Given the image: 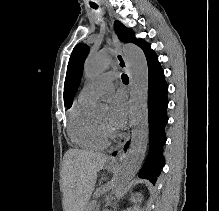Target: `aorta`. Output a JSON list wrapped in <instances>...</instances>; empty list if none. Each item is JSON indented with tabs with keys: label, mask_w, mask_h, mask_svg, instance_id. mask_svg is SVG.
<instances>
[{
	"label": "aorta",
	"mask_w": 219,
	"mask_h": 211,
	"mask_svg": "<svg viewBox=\"0 0 219 211\" xmlns=\"http://www.w3.org/2000/svg\"><path fill=\"white\" fill-rule=\"evenodd\" d=\"M123 54L130 66V118L133 124L130 148L127 157L113 178L111 192L118 193L134 177L140 169L148 144V64L143 51L134 44H127L122 48ZM112 59L111 50H102L98 54L89 56L84 65V76L93 78L102 73ZM107 111V106H95L97 114Z\"/></svg>",
	"instance_id": "1"
}]
</instances>
